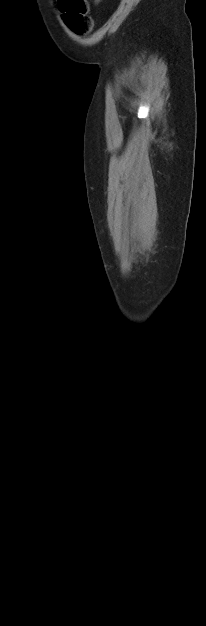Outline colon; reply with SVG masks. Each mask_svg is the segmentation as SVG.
I'll return each instance as SVG.
<instances>
[{"label":"colon","mask_w":206,"mask_h":626,"mask_svg":"<svg viewBox=\"0 0 206 626\" xmlns=\"http://www.w3.org/2000/svg\"><path fill=\"white\" fill-rule=\"evenodd\" d=\"M58 7L65 23L74 33L82 35L92 29L88 0H58Z\"/></svg>","instance_id":"colon-1"}]
</instances>
